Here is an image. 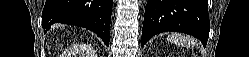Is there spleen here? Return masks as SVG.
Returning a JSON list of instances; mask_svg holds the SVG:
<instances>
[{
  "instance_id": "obj_1",
  "label": "spleen",
  "mask_w": 249,
  "mask_h": 57,
  "mask_svg": "<svg viewBox=\"0 0 249 57\" xmlns=\"http://www.w3.org/2000/svg\"><path fill=\"white\" fill-rule=\"evenodd\" d=\"M170 42L181 46H193L195 45L194 39L189 36H185L179 33H172L167 38Z\"/></svg>"
}]
</instances>
